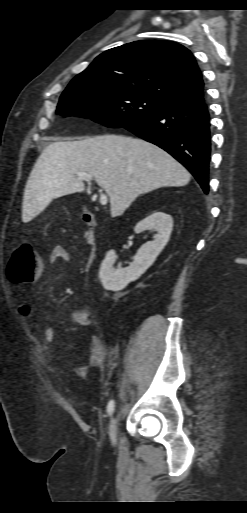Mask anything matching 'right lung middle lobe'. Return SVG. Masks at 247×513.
Returning <instances> with one entry per match:
<instances>
[{"instance_id": "dd1d6c3e", "label": "right lung middle lobe", "mask_w": 247, "mask_h": 513, "mask_svg": "<svg viewBox=\"0 0 247 513\" xmlns=\"http://www.w3.org/2000/svg\"><path fill=\"white\" fill-rule=\"evenodd\" d=\"M169 106L126 88L70 82L60 97L57 114L89 117L111 128L139 123Z\"/></svg>"}]
</instances>
